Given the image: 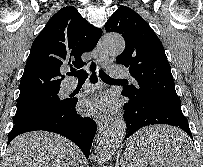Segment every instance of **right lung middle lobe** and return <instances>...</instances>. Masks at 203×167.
<instances>
[{
	"instance_id": "obj_1",
	"label": "right lung middle lobe",
	"mask_w": 203,
	"mask_h": 167,
	"mask_svg": "<svg viewBox=\"0 0 203 167\" xmlns=\"http://www.w3.org/2000/svg\"><path fill=\"white\" fill-rule=\"evenodd\" d=\"M57 94L58 92H55L32 102L18 105L13 123L16 124L33 115L64 107V105L68 102V99H60Z\"/></svg>"
}]
</instances>
